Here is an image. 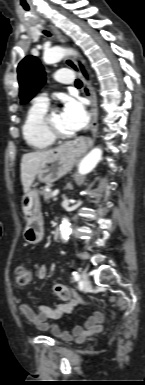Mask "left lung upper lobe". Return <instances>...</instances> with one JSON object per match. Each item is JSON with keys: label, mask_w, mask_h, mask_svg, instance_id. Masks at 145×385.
Returning a JSON list of instances; mask_svg holds the SVG:
<instances>
[{"label": "left lung upper lobe", "mask_w": 145, "mask_h": 385, "mask_svg": "<svg viewBox=\"0 0 145 385\" xmlns=\"http://www.w3.org/2000/svg\"><path fill=\"white\" fill-rule=\"evenodd\" d=\"M21 104L27 103L45 82V72L39 60L26 56L18 65Z\"/></svg>", "instance_id": "left-lung-upper-lobe-1"}]
</instances>
